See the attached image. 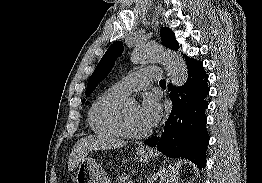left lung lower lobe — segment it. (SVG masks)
Masks as SVG:
<instances>
[{
  "mask_svg": "<svg viewBox=\"0 0 262 183\" xmlns=\"http://www.w3.org/2000/svg\"><path fill=\"white\" fill-rule=\"evenodd\" d=\"M185 58L188 79L181 87L169 84L172 111L164 131L159 137H152L144 143L156 147L169 158L189 159L201 169L206 164L205 152L209 143L205 115L208 75L202 62Z\"/></svg>",
  "mask_w": 262,
  "mask_h": 183,
  "instance_id": "0a47b994",
  "label": "left lung lower lobe"
}]
</instances>
